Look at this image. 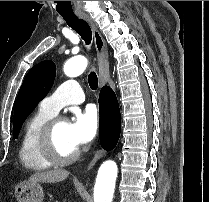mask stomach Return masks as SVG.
<instances>
[{"instance_id":"stomach-1","label":"stomach","mask_w":209,"mask_h":202,"mask_svg":"<svg viewBox=\"0 0 209 202\" xmlns=\"http://www.w3.org/2000/svg\"><path fill=\"white\" fill-rule=\"evenodd\" d=\"M14 196L18 202H42L44 192L38 182L22 181L15 186Z\"/></svg>"}]
</instances>
